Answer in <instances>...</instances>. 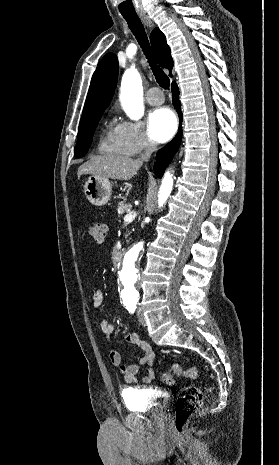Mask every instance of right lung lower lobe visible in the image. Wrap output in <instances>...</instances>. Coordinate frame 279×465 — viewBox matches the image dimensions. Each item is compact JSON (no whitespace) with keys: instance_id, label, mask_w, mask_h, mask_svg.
<instances>
[{"instance_id":"right-lung-lower-lobe-1","label":"right lung lower lobe","mask_w":279,"mask_h":465,"mask_svg":"<svg viewBox=\"0 0 279 465\" xmlns=\"http://www.w3.org/2000/svg\"><path fill=\"white\" fill-rule=\"evenodd\" d=\"M172 92H173V104L176 107V110L180 118V123H181L182 122L181 103L179 100V90L176 85V82H172ZM181 139H182V129L180 126L175 138L158 152L157 161L154 165V171L157 176L162 177L166 167L168 166L173 156L177 152L180 146V143H181Z\"/></svg>"}]
</instances>
